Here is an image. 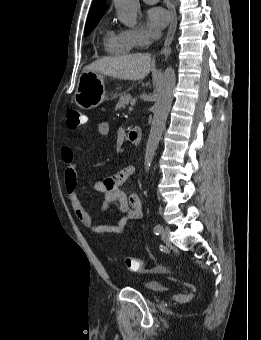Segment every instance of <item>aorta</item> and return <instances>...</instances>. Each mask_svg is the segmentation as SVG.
<instances>
[{"label":"aorta","instance_id":"obj_1","mask_svg":"<svg viewBox=\"0 0 261 340\" xmlns=\"http://www.w3.org/2000/svg\"><path fill=\"white\" fill-rule=\"evenodd\" d=\"M118 19L129 27L137 23V14L140 9L139 0H114ZM176 83V75L173 68L168 67L159 81L156 100L153 107V119L146 144L144 165L148 172L154 159L167 117L172 105L173 92Z\"/></svg>","mask_w":261,"mask_h":340}]
</instances>
